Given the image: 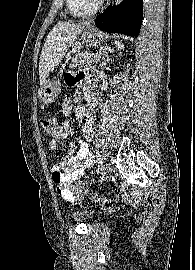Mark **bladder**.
I'll use <instances>...</instances> for the list:
<instances>
[{
    "instance_id": "31cf9c89",
    "label": "bladder",
    "mask_w": 195,
    "mask_h": 270,
    "mask_svg": "<svg viewBox=\"0 0 195 270\" xmlns=\"http://www.w3.org/2000/svg\"><path fill=\"white\" fill-rule=\"evenodd\" d=\"M72 218L74 219H84V220H88L91 217L90 213H87L85 211L82 210H74L71 213Z\"/></svg>"
}]
</instances>
